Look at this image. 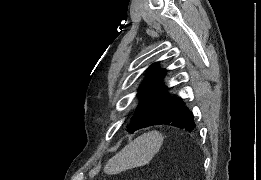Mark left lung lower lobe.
Here are the masks:
<instances>
[{
  "label": "left lung lower lobe",
  "mask_w": 261,
  "mask_h": 180,
  "mask_svg": "<svg viewBox=\"0 0 261 180\" xmlns=\"http://www.w3.org/2000/svg\"><path fill=\"white\" fill-rule=\"evenodd\" d=\"M193 118V113L185 106L183 100L175 98L169 108L152 125H169L192 131L196 127Z\"/></svg>",
  "instance_id": "1"
}]
</instances>
